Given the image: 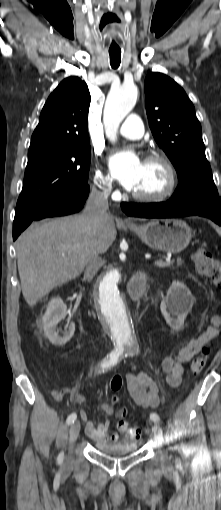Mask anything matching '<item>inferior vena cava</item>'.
I'll use <instances>...</instances> for the list:
<instances>
[{"label":"inferior vena cava","instance_id":"inferior-vena-cava-1","mask_svg":"<svg viewBox=\"0 0 221 510\" xmlns=\"http://www.w3.org/2000/svg\"><path fill=\"white\" fill-rule=\"evenodd\" d=\"M110 191V186L91 190L84 209L90 229L100 230L109 222L110 215L107 211L109 209L108 196ZM101 265L102 260L96 250H89L84 278L91 281Z\"/></svg>","mask_w":221,"mask_h":510}]
</instances>
